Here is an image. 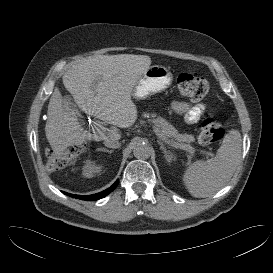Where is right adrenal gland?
Masks as SVG:
<instances>
[{"instance_id": "2a0ac1e0", "label": "right adrenal gland", "mask_w": 273, "mask_h": 273, "mask_svg": "<svg viewBox=\"0 0 273 273\" xmlns=\"http://www.w3.org/2000/svg\"><path fill=\"white\" fill-rule=\"evenodd\" d=\"M97 150H98V151L108 152V153H110V154L113 152V150H108L107 148H104V147L98 148Z\"/></svg>"}]
</instances>
